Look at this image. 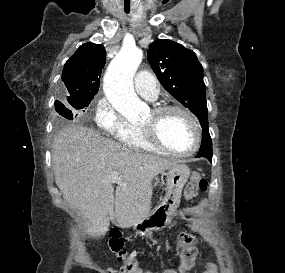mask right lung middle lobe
<instances>
[{
  "mask_svg": "<svg viewBox=\"0 0 285 273\" xmlns=\"http://www.w3.org/2000/svg\"><path fill=\"white\" fill-rule=\"evenodd\" d=\"M92 99L93 97L84 99H67L69 103L68 107H65L60 101H56L55 109L62 117L68 120H73L76 115L73 108L77 110L83 109L90 104Z\"/></svg>",
  "mask_w": 285,
  "mask_h": 273,
  "instance_id": "1",
  "label": "right lung middle lobe"
}]
</instances>
